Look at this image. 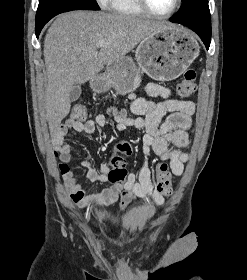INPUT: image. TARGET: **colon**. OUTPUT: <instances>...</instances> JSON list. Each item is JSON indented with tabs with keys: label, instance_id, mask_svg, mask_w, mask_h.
Segmentation results:
<instances>
[{
	"label": "colon",
	"instance_id": "1",
	"mask_svg": "<svg viewBox=\"0 0 247 280\" xmlns=\"http://www.w3.org/2000/svg\"><path fill=\"white\" fill-rule=\"evenodd\" d=\"M196 73L192 69L185 71L183 78L178 86V91L182 96H190L196 90ZM122 114V113H121ZM72 118L77 121H84L88 118L87 107L83 103H77L72 108ZM131 145L127 142H121L117 145V150L124 155H131ZM128 177L126 162L123 157L115 156L110 163L108 173L110 191H120L124 186V181ZM157 191L162 195L171 193V176L165 163H159L156 167Z\"/></svg>",
	"mask_w": 247,
	"mask_h": 280
}]
</instances>
